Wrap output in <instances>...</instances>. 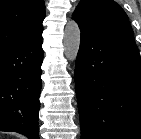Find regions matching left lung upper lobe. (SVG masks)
Wrapping results in <instances>:
<instances>
[{"label":"left lung upper lobe","mask_w":141,"mask_h":139,"mask_svg":"<svg viewBox=\"0 0 141 139\" xmlns=\"http://www.w3.org/2000/svg\"><path fill=\"white\" fill-rule=\"evenodd\" d=\"M73 18L80 29L89 33L135 44L129 19L113 0H81Z\"/></svg>","instance_id":"1"}]
</instances>
